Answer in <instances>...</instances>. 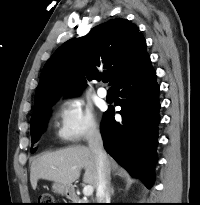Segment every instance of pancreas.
Wrapping results in <instances>:
<instances>
[{
    "label": "pancreas",
    "mask_w": 200,
    "mask_h": 205,
    "mask_svg": "<svg viewBox=\"0 0 200 205\" xmlns=\"http://www.w3.org/2000/svg\"><path fill=\"white\" fill-rule=\"evenodd\" d=\"M78 203H87L86 201H83V199L79 200Z\"/></svg>",
    "instance_id": "cf45deb5"
}]
</instances>
